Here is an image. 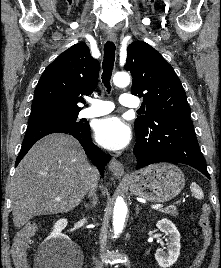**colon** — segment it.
<instances>
[{
    "mask_svg": "<svg viewBox=\"0 0 221 268\" xmlns=\"http://www.w3.org/2000/svg\"><path fill=\"white\" fill-rule=\"evenodd\" d=\"M199 224L203 234V246L193 260L190 268H200L213 236L211 225V207L208 204H203L201 207ZM37 231V224L30 223L25 225L18 233L12 250V257L16 268H30L27 262V249L31 239L36 235Z\"/></svg>",
    "mask_w": 221,
    "mask_h": 268,
    "instance_id": "1",
    "label": "colon"
}]
</instances>
